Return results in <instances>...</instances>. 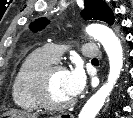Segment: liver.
<instances>
[{"instance_id":"obj_1","label":"liver","mask_w":133,"mask_h":118,"mask_svg":"<svg viewBox=\"0 0 133 118\" xmlns=\"http://www.w3.org/2000/svg\"><path fill=\"white\" fill-rule=\"evenodd\" d=\"M11 116V118H38V114L36 113H28L24 111H10L4 114Z\"/></svg>"}]
</instances>
